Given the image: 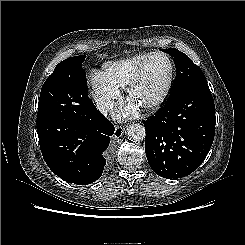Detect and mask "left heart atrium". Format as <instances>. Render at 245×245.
<instances>
[{
	"mask_svg": "<svg viewBox=\"0 0 245 245\" xmlns=\"http://www.w3.org/2000/svg\"><path fill=\"white\" fill-rule=\"evenodd\" d=\"M138 110V107L134 105L132 102L131 103H126L122 106H120L116 111H115V117L117 119L123 120L132 117L133 115L136 114Z\"/></svg>",
	"mask_w": 245,
	"mask_h": 245,
	"instance_id": "39dd6f15",
	"label": "left heart atrium"
}]
</instances>
